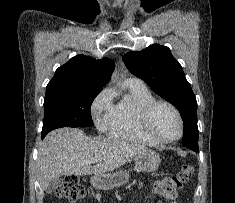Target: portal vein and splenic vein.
I'll return each mask as SVG.
<instances>
[{
	"instance_id": "obj_1",
	"label": "portal vein and splenic vein",
	"mask_w": 235,
	"mask_h": 203,
	"mask_svg": "<svg viewBox=\"0 0 235 203\" xmlns=\"http://www.w3.org/2000/svg\"><path fill=\"white\" fill-rule=\"evenodd\" d=\"M99 161V159H94V162H98Z\"/></svg>"
}]
</instances>
